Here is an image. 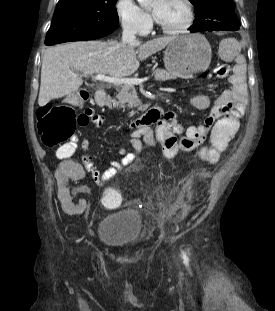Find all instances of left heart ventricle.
Listing matches in <instances>:
<instances>
[{"label":"left heart ventricle","mask_w":275,"mask_h":311,"mask_svg":"<svg viewBox=\"0 0 275 311\" xmlns=\"http://www.w3.org/2000/svg\"><path fill=\"white\" fill-rule=\"evenodd\" d=\"M151 12L163 26L177 28L187 19V9L181 0H155Z\"/></svg>","instance_id":"left-heart-ventricle-1"}]
</instances>
